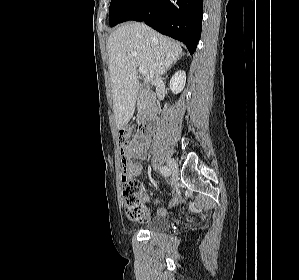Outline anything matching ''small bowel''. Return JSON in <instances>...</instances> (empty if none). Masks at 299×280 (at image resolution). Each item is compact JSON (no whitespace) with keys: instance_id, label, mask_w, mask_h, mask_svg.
Returning a JSON list of instances; mask_svg holds the SVG:
<instances>
[{"instance_id":"small-bowel-1","label":"small bowel","mask_w":299,"mask_h":280,"mask_svg":"<svg viewBox=\"0 0 299 280\" xmlns=\"http://www.w3.org/2000/svg\"><path fill=\"white\" fill-rule=\"evenodd\" d=\"M150 146V139L145 136V135H140L136 140L130 142L126 147H125V152L128 161L131 159L137 158L140 160H144L147 156V152ZM131 167V172L134 175H140L141 173V166L138 164L132 165L130 164ZM141 200L143 203L149 201V196L145 191L141 192ZM180 197H175L169 207L175 206L181 202ZM168 212V208H160L159 213L160 214H166Z\"/></svg>"}]
</instances>
